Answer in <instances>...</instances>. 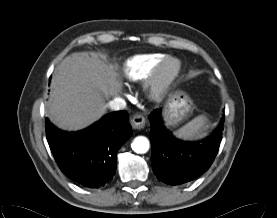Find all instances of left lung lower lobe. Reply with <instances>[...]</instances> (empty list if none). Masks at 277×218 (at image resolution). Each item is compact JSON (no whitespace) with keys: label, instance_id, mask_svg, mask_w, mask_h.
Wrapping results in <instances>:
<instances>
[{"label":"left lung lower lobe","instance_id":"obj_1","mask_svg":"<svg viewBox=\"0 0 277 218\" xmlns=\"http://www.w3.org/2000/svg\"><path fill=\"white\" fill-rule=\"evenodd\" d=\"M149 120L151 162L159 180L170 185L183 184L208 170L219 150L224 119L212 136L193 143L175 139L164 128L159 110H154Z\"/></svg>","mask_w":277,"mask_h":218}]
</instances>
